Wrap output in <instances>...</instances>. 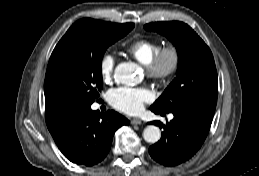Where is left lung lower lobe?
Listing matches in <instances>:
<instances>
[{
	"instance_id": "obj_1",
	"label": "left lung lower lobe",
	"mask_w": 259,
	"mask_h": 176,
	"mask_svg": "<svg viewBox=\"0 0 259 176\" xmlns=\"http://www.w3.org/2000/svg\"><path fill=\"white\" fill-rule=\"evenodd\" d=\"M154 113H163L150 108ZM174 118L166 125L151 122L163 128L161 139L149 148L151 157L165 166H175L190 159L202 146L212 123L214 113L194 107L172 111Z\"/></svg>"
}]
</instances>
